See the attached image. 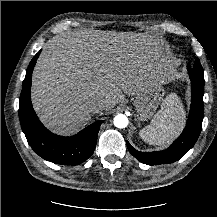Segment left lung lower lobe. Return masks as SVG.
I'll return each instance as SVG.
<instances>
[{
  "instance_id": "0a47b994",
  "label": "left lung lower lobe",
  "mask_w": 217,
  "mask_h": 217,
  "mask_svg": "<svg viewBox=\"0 0 217 217\" xmlns=\"http://www.w3.org/2000/svg\"><path fill=\"white\" fill-rule=\"evenodd\" d=\"M188 71L192 88V104L184 131L168 149L163 151L139 152L135 150L129 142H127V147L130 153L140 162L148 165L173 163L185 155L197 141L201 132L202 120L204 117V80L198 78L190 67H188Z\"/></svg>"
}]
</instances>
